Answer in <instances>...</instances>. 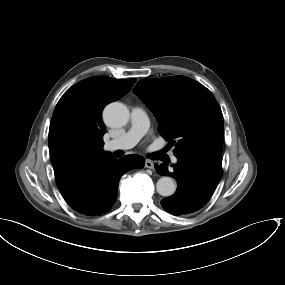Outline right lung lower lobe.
<instances>
[{
    "instance_id": "1",
    "label": "right lung lower lobe",
    "mask_w": 285,
    "mask_h": 285,
    "mask_svg": "<svg viewBox=\"0 0 285 285\" xmlns=\"http://www.w3.org/2000/svg\"><path fill=\"white\" fill-rule=\"evenodd\" d=\"M145 159L139 155H126L121 159L111 156L94 162L69 184L60 189L67 204L86 216L106 213L117 200L121 176L134 168H143Z\"/></svg>"
}]
</instances>
